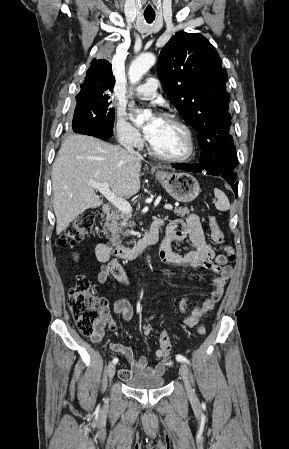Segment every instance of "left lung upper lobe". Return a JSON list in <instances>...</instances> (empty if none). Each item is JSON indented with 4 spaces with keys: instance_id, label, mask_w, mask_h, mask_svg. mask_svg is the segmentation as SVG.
<instances>
[{
    "instance_id": "1",
    "label": "left lung upper lobe",
    "mask_w": 289,
    "mask_h": 449,
    "mask_svg": "<svg viewBox=\"0 0 289 449\" xmlns=\"http://www.w3.org/2000/svg\"><path fill=\"white\" fill-rule=\"evenodd\" d=\"M157 72L170 102L198 133L200 161L218 173L235 171L227 72L213 45L198 33H177L160 52Z\"/></svg>"
}]
</instances>
